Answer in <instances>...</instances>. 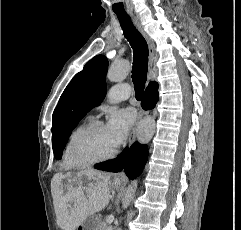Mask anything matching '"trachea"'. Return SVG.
Here are the masks:
<instances>
[{
  "label": "trachea",
  "instance_id": "obj_1",
  "mask_svg": "<svg viewBox=\"0 0 241 230\" xmlns=\"http://www.w3.org/2000/svg\"><path fill=\"white\" fill-rule=\"evenodd\" d=\"M125 38L133 49L132 81L136 93V99L141 100L144 93L148 70V45L141 33L133 25L131 18L126 13H116Z\"/></svg>",
  "mask_w": 241,
  "mask_h": 230
}]
</instances>
